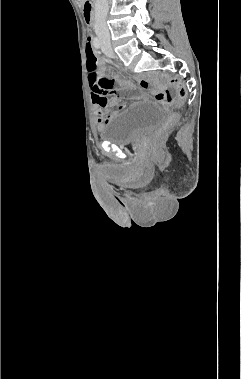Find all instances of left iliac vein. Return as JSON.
Here are the masks:
<instances>
[{
    "mask_svg": "<svg viewBox=\"0 0 241 379\" xmlns=\"http://www.w3.org/2000/svg\"><path fill=\"white\" fill-rule=\"evenodd\" d=\"M102 51L108 56V57H115V54L113 50L110 47H107L105 45L102 46Z\"/></svg>",
    "mask_w": 241,
    "mask_h": 379,
    "instance_id": "1",
    "label": "left iliac vein"
}]
</instances>
